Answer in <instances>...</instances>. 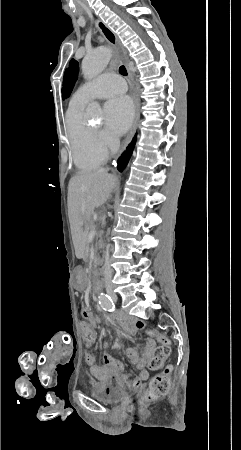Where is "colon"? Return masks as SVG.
Here are the masks:
<instances>
[{
	"label": "colon",
	"instance_id": "1",
	"mask_svg": "<svg viewBox=\"0 0 241 450\" xmlns=\"http://www.w3.org/2000/svg\"><path fill=\"white\" fill-rule=\"evenodd\" d=\"M97 334L93 332V327L87 326L82 327L79 331V341L84 342V348L86 350H91L93 348V343L97 341ZM169 349L165 345H161L157 348L153 356V370H158L162 366L163 360L168 357ZM173 369L171 364L166 366L163 373H160L152 379V381L147 386L143 399L145 402H155L162 399L168 392L170 385V371Z\"/></svg>",
	"mask_w": 241,
	"mask_h": 450
}]
</instances>
